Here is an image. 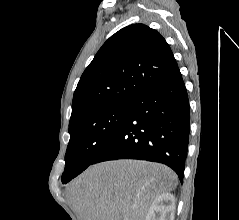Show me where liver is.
Listing matches in <instances>:
<instances>
[{
	"label": "liver",
	"mask_w": 239,
	"mask_h": 220,
	"mask_svg": "<svg viewBox=\"0 0 239 220\" xmlns=\"http://www.w3.org/2000/svg\"><path fill=\"white\" fill-rule=\"evenodd\" d=\"M167 166L140 160L95 164L68 187L79 220H145L153 201L177 186Z\"/></svg>",
	"instance_id": "1"
}]
</instances>
